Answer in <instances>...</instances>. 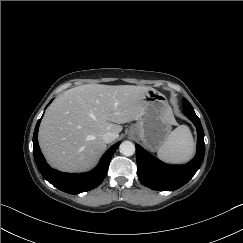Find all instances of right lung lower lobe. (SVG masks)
<instances>
[{"instance_id": "1", "label": "right lung lower lobe", "mask_w": 243, "mask_h": 243, "mask_svg": "<svg viewBox=\"0 0 243 243\" xmlns=\"http://www.w3.org/2000/svg\"><path fill=\"white\" fill-rule=\"evenodd\" d=\"M40 122L41 118L38 120L34 130L33 154L36 165L42 176L59 190L70 194H79L81 192L94 189L98 185H100V183L104 180L107 174L112 155L120 145V142L114 144L108 151H106L96 168L88 173L68 174L59 172L52 169L46 163L43 154L41 153V150L39 148L37 135Z\"/></svg>"}]
</instances>
